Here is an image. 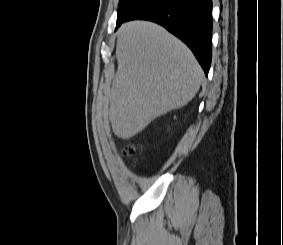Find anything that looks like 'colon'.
<instances>
[{"mask_svg": "<svg viewBox=\"0 0 283 245\" xmlns=\"http://www.w3.org/2000/svg\"><path fill=\"white\" fill-rule=\"evenodd\" d=\"M137 152V147L134 145H128L125 149H124V153L130 157V158H134L135 154Z\"/></svg>", "mask_w": 283, "mask_h": 245, "instance_id": "colon-1", "label": "colon"}]
</instances>
